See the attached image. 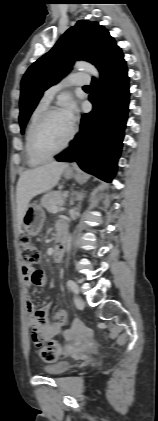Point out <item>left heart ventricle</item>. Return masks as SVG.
I'll return each instance as SVG.
<instances>
[{"instance_id":"1","label":"left heart ventricle","mask_w":158,"mask_h":421,"mask_svg":"<svg viewBox=\"0 0 158 421\" xmlns=\"http://www.w3.org/2000/svg\"><path fill=\"white\" fill-rule=\"evenodd\" d=\"M71 128L62 112L52 114L39 133V148L45 153L55 151L65 142Z\"/></svg>"}]
</instances>
